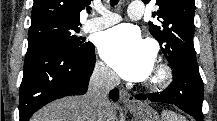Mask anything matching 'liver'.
<instances>
[{"label": "liver", "instance_id": "1", "mask_svg": "<svg viewBox=\"0 0 217 121\" xmlns=\"http://www.w3.org/2000/svg\"><path fill=\"white\" fill-rule=\"evenodd\" d=\"M89 105L85 96H70L53 101L37 113L30 121H90ZM114 105L107 108L104 121H116Z\"/></svg>", "mask_w": 217, "mask_h": 121}]
</instances>
